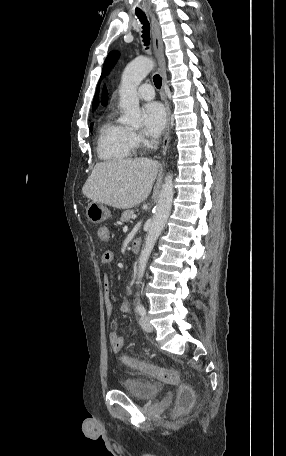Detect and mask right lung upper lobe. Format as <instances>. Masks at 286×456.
Returning <instances> with one entry per match:
<instances>
[{"instance_id": "1", "label": "right lung upper lobe", "mask_w": 286, "mask_h": 456, "mask_svg": "<svg viewBox=\"0 0 286 456\" xmlns=\"http://www.w3.org/2000/svg\"><path fill=\"white\" fill-rule=\"evenodd\" d=\"M107 102H108V93H107V89L104 88L103 89V93H102L101 103H102L103 106H106Z\"/></svg>"}]
</instances>
